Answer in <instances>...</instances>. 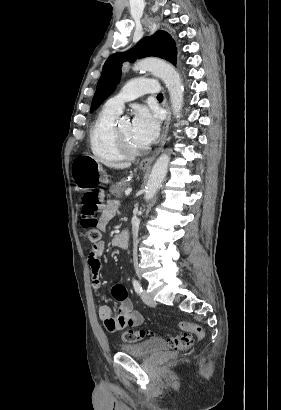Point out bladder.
I'll return each instance as SVG.
<instances>
[{
  "label": "bladder",
  "mask_w": 281,
  "mask_h": 410,
  "mask_svg": "<svg viewBox=\"0 0 281 410\" xmlns=\"http://www.w3.org/2000/svg\"><path fill=\"white\" fill-rule=\"evenodd\" d=\"M168 344L162 339H148L135 344L120 345L121 352L134 357L147 358L167 350Z\"/></svg>",
  "instance_id": "bladder-1"
}]
</instances>
